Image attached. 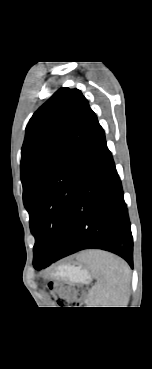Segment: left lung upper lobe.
Returning <instances> with one entry per match:
<instances>
[{
    "label": "left lung upper lobe",
    "instance_id": "left-lung-upper-lobe-1",
    "mask_svg": "<svg viewBox=\"0 0 152 369\" xmlns=\"http://www.w3.org/2000/svg\"><path fill=\"white\" fill-rule=\"evenodd\" d=\"M97 125L81 91L69 88L56 91L27 124L20 167L35 237L34 267L53 258L62 245Z\"/></svg>",
    "mask_w": 152,
    "mask_h": 369
}]
</instances>
